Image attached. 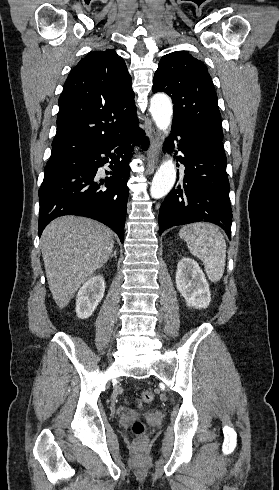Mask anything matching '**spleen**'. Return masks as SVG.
I'll use <instances>...</instances> for the list:
<instances>
[{
  "mask_svg": "<svg viewBox=\"0 0 279 490\" xmlns=\"http://www.w3.org/2000/svg\"><path fill=\"white\" fill-rule=\"evenodd\" d=\"M191 254L202 260L210 282H219L225 270L226 242L214 224H189L180 230Z\"/></svg>",
  "mask_w": 279,
  "mask_h": 490,
  "instance_id": "1",
  "label": "spleen"
}]
</instances>
